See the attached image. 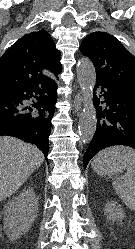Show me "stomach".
<instances>
[{"mask_svg": "<svg viewBox=\"0 0 135 249\" xmlns=\"http://www.w3.org/2000/svg\"><path fill=\"white\" fill-rule=\"evenodd\" d=\"M94 171L102 176H111L115 173L125 170L124 164L110 159H104L92 162Z\"/></svg>", "mask_w": 135, "mask_h": 249, "instance_id": "stomach-1", "label": "stomach"}]
</instances>
